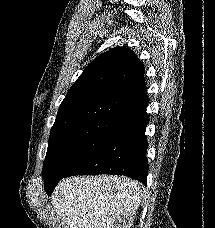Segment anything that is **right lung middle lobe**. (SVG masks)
Segmentation results:
<instances>
[{
  "mask_svg": "<svg viewBox=\"0 0 215 228\" xmlns=\"http://www.w3.org/2000/svg\"><path fill=\"white\" fill-rule=\"evenodd\" d=\"M127 125L118 120L98 118L50 133L42 170L46 193L51 195L70 169Z\"/></svg>",
  "mask_w": 215,
  "mask_h": 228,
  "instance_id": "dd1d6c3e",
  "label": "right lung middle lobe"
}]
</instances>
